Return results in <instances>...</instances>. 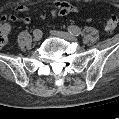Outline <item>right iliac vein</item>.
<instances>
[{
	"instance_id": "right-iliac-vein-1",
	"label": "right iliac vein",
	"mask_w": 119,
	"mask_h": 119,
	"mask_svg": "<svg viewBox=\"0 0 119 119\" xmlns=\"http://www.w3.org/2000/svg\"><path fill=\"white\" fill-rule=\"evenodd\" d=\"M39 31H40V30H39ZM33 38H34L35 41L41 40V38H42V32L40 31V34H39L38 36H35V35L33 34Z\"/></svg>"
}]
</instances>
